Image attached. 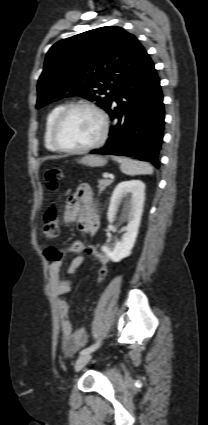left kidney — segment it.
Here are the masks:
<instances>
[{
	"label": "left kidney",
	"instance_id": "1",
	"mask_svg": "<svg viewBox=\"0 0 208 425\" xmlns=\"http://www.w3.org/2000/svg\"><path fill=\"white\" fill-rule=\"evenodd\" d=\"M126 196L129 198L124 207V215L128 221L127 226L124 228L125 233L120 241H116L114 248H110L108 245L102 246V251L113 262H119L128 257L134 247L143 212L145 184L140 180L120 182L111 196L107 213L109 220L116 219L120 203Z\"/></svg>",
	"mask_w": 208,
	"mask_h": 425
}]
</instances>
